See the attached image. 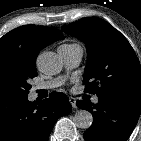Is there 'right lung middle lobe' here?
I'll list each match as a JSON object with an SVG mask.
<instances>
[{
  "label": "right lung middle lobe",
  "mask_w": 141,
  "mask_h": 141,
  "mask_svg": "<svg viewBox=\"0 0 141 141\" xmlns=\"http://www.w3.org/2000/svg\"><path fill=\"white\" fill-rule=\"evenodd\" d=\"M37 76L34 61L17 55L0 58V97L27 96L30 79Z\"/></svg>",
  "instance_id": "right-lung-middle-lobe-1"
}]
</instances>
